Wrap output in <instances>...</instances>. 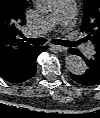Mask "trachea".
Masks as SVG:
<instances>
[{"label":"trachea","mask_w":100,"mask_h":118,"mask_svg":"<svg viewBox=\"0 0 100 118\" xmlns=\"http://www.w3.org/2000/svg\"><path fill=\"white\" fill-rule=\"evenodd\" d=\"M23 40L27 41L28 43L32 45H43L46 42L45 38H33L29 39L26 37H23ZM53 43L65 46V47H72L73 44L71 42L65 41V40H60V39H53Z\"/></svg>","instance_id":"obj_1"}]
</instances>
